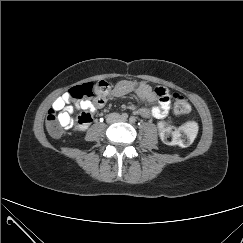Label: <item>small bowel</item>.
<instances>
[{
	"label": "small bowel",
	"instance_id": "obj_1",
	"mask_svg": "<svg viewBox=\"0 0 243 243\" xmlns=\"http://www.w3.org/2000/svg\"><path fill=\"white\" fill-rule=\"evenodd\" d=\"M132 90L136 91L139 99L142 102L153 103L159 100V104L151 109L141 107L138 110V114L140 116L145 118L153 117L155 119H163L167 116L170 109L169 99L160 100L150 85L143 82L134 83L131 81H120L114 86L113 89L109 91V93L105 95H97L93 101L77 100L74 106L70 105L72 98L70 97L69 93L66 92L53 102L52 108L58 112V118L62 126L67 129H71L73 128V114L75 110H86L92 116V114L98 109L104 107L108 95L121 97ZM88 125L74 128V130H84Z\"/></svg>",
	"mask_w": 243,
	"mask_h": 243
}]
</instances>
